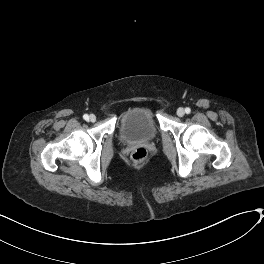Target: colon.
<instances>
[{
    "mask_svg": "<svg viewBox=\"0 0 264 264\" xmlns=\"http://www.w3.org/2000/svg\"><path fill=\"white\" fill-rule=\"evenodd\" d=\"M147 157V150L144 147H138L133 155L132 158L136 163H142Z\"/></svg>",
    "mask_w": 264,
    "mask_h": 264,
    "instance_id": "obj_1",
    "label": "colon"
}]
</instances>
